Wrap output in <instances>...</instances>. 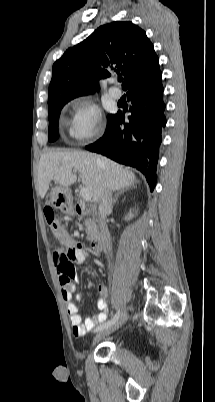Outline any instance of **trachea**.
Segmentation results:
<instances>
[{"label": "trachea", "instance_id": "obj_1", "mask_svg": "<svg viewBox=\"0 0 215 402\" xmlns=\"http://www.w3.org/2000/svg\"><path fill=\"white\" fill-rule=\"evenodd\" d=\"M122 80H123V78H121V77H120V78H118V81H119V82H121Z\"/></svg>", "mask_w": 215, "mask_h": 402}]
</instances>
